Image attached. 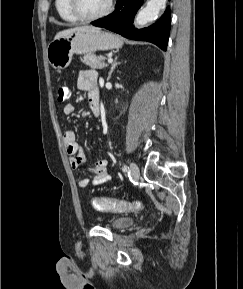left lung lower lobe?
<instances>
[{
    "label": "left lung lower lobe",
    "mask_w": 243,
    "mask_h": 289,
    "mask_svg": "<svg viewBox=\"0 0 243 289\" xmlns=\"http://www.w3.org/2000/svg\"><path fill=\"white\" fill-rule=\"evenodd\" d=\"M142 4L143 0H117L112 14L93 21L91 24L104 27L132 40L149 41L166 51L171 24L169 7L155 24L138 30L133 27V19Z\"/></svg>",
    "instance_id": "obj_1"
}]
</instances>
